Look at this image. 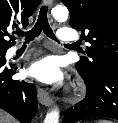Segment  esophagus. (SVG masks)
<instances>
[{"instance_id":"34e87169","label":"esophagus","mask_w":118,"mask_h":123,"mask_svg":"<svg viewBox=\"0 0 118 123\" xmlns=\"http://www.w3.org/2000/svg\"><path fill=\"white\" fill-rule=\"evenodd\" d=\"M45 3L49 6H51L52 0H45ZM37 96H38L39 102L42 105L47 106V107L52 105L53 98L51 97V95L46 90L39 87L37 90Z\"/></svg>"}]
</instances>
